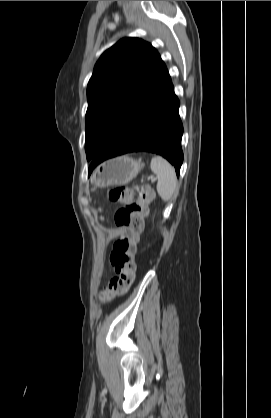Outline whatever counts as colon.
<instances>
[{"mask_svg":"<svg viewBox=\"0 0 271 418\" xmlns=\"http://www.w3.org/2000/svg\"><path fill=\"white\" fill-rule=\"evenodd\" d=\"M138 196L134 198V191ZM118 186L108 193L109 200L121 204L115 213L116 226L124 234L114 243L110 262L116 276L110 281L109 288L100 295L105 301L111 295L123 294L128 291L135 279L136 264L134 256L139 243V235L143 227V220L148 214L149 205L154 201V191L147 185L136 189Z\"/></svg>","mask_w":271,"mask_h":418,"instance_id":"1","label":"colon"}]
</instances>
